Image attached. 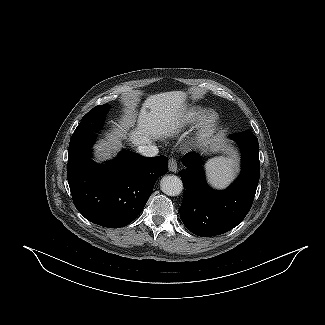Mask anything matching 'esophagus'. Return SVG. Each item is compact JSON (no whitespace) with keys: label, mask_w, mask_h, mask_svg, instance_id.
<instances>
[{"label":"esophagus","mask_w":325,"mask_h":325,"mask_svg":"<svg viewBox=\"0 0 325 325\" xmlns=\"http://www.w3.org/2000/svg\"><path fill=\"white\" fill-rule=\"evenodd\" d=\"M168 167H169V171L177 172L178 165H177V162H176V160L174 158L169 159Z\"/></svg>","instance_id":"obj_1"}]
</instances>
